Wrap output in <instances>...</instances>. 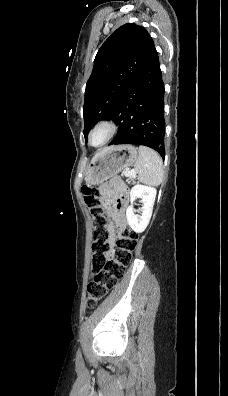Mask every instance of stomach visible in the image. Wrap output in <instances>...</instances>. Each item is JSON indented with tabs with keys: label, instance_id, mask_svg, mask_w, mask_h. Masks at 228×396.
Returning a JSON list of instances; mask_svg holds the SVG:
<instances>
[{
	"label": "stomach",
	"instance_id": "obj_1",
	"mask_svg": "<svg viewBox=\"0 0 228 396\" xmlns=\"http://www.w3.org/2000/svg\"><path fill=\"white\" fill-rule=\"evenodd\" d=\"M137 161V148L133 145L113 146L93 160L87 168L85 181L99 184Z\"/></svg>",
	"mask_w": 228,
	"mask_h": 396
}]
</instances>
